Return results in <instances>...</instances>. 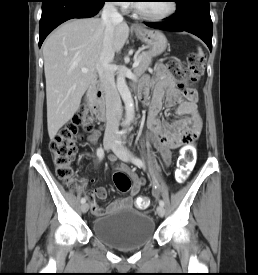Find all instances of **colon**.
Instances as JSON below:
<instances>
[{
    "instance_id": "obj_1",
    "label": "colon",
    "mask_w": 258,
    "mask_h": 275,
    "mask_svg": "<svg viewBox=\"0 0 258 275\" xmlns=\"http://www.w3.org/2000/svg\"><path fill=\"white\" fill-rule=\"evenodd\" d=\"M205 57L196 52L190 53L185 63L179 60H171L168 63L169 70L176 75L180 81V88L190 91L204 72ZM90 130L93 128V116L86 108H81L74 115L72 121L61 128L50 142V151L53 163L56 167L58 177L68 186L75 187V174L72 161L76 154V138L78 129ZM193 148L187 146L178 160L175 178L178 183H183L193 165ZM113 181L121 192L131 190L132 182L124 172H116ZM136 206L145 209L149 206V199L140 196L136 199Z\"/></svg>"
}]
</instances>
